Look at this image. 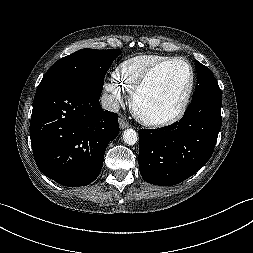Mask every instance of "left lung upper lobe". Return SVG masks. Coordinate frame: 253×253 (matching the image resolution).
Segmentation results:
<instances>
[{
    "mask_svg": "<svg viewBox=\"0 0 253 253\" xmlns=\"http://www.w3.org/2000/svg\"><path fill=\"white\" fill-rule=\"evenodd\" d=\"M197 69V85L193 94V99H198L203 96L222 97L218 83L210 69L195 60Z\"/></svg>",
    "mask_w": 253,
    "mask_h": 253,
    "instance_id": "5c2ea615",
    "label": "left lung upper lobe"
}]
</instances>
